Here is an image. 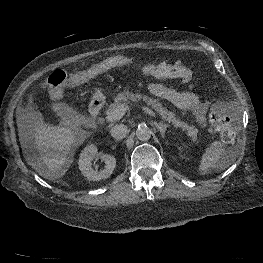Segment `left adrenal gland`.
<instances>
[{"label":"left adrenal gland","instance_id":"obj_1","mask_svg":"<svg viewBox=\"0 0 263 263\" xmlns=\"http://www.w3.org/2000/svg\"><path fill=\"white\" fill-rule=\"evenodd\" d=\"M154 125L159 129V131L161 133V136L163 138H165V132L167 130V127H169V125L168 124L157 123V122H154Z\"/></svg>","mask_w":263,"mask_h":263}]
</instances>
